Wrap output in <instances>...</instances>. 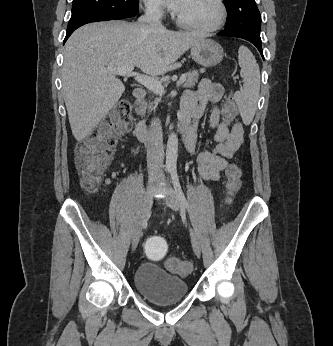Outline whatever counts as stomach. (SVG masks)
<instances>
[{
  "mask_svg": "<svg viewBox=\"0 0 333 346\" xmlns=\"http://www.w3.org/2000/svg\"><path fill=\"white\" fill-rule=\"evenodd\" d=\"M223 48L211 39L203 38L191 47V56L199 65L213 67L223 59Z\"/></svg>",
  "mask_w": 333,
  "mask_h": 346,
  "instance_id": "0dacf381",
  "label": "stomach"
}]
</instances>
